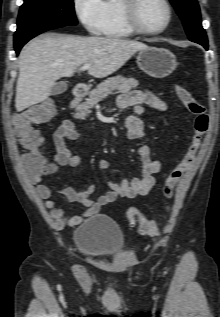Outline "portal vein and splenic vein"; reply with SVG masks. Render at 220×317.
<instances>
[{"label": "portal vein and splenic vein", "mask_w": 220, "mask_h": 317, "mask_svg": "<svg viewBox=\"0 0 220 317\" xmlns=\"http://www.w3.org/2000/svg\"><path fill=\"white\" fill-rule=\"evenodd\" d=\"M90 67H91V64H90V63L84 64V65L81 67V71L88 70Z\"/></svg>", "instance_id": "portal-vein-and-splenic-vein-1"}]
</instances>
